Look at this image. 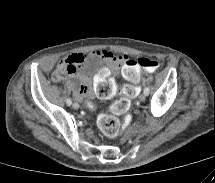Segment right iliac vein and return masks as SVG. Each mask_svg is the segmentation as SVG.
Masks as SVG:
<instances>
[{
  "instance_id": "obj_1",
  "label": "right iliac vein",
  "mask_w": 215,
  "mask_h": 183,
  "mask_svg": "<svg viewBox=\"0 0 215 183\" xmlns=\"http://www.w3.org/2000/svg\"><path fill=\"white\" fill-rule=\"evenodd\" d=\"M72 107H73L74 109H78V108H79V104H78L77 102H74V103L72 104Z\"/></svg>"
}]
</instances>
